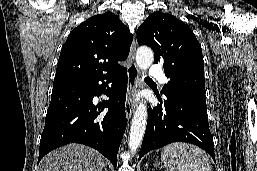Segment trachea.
Masks as SVG:
<instances>
[{
    "instance_id": "obj_1",
    "label": "trachea",
    "mask_w": 257,
    "mask_h": 171,
    "mask_svg": "<svg viewBox=\"0 0 257 171\" xmlns=\"http://www.w3.org/2000/svg\"><path fill=\"white\" fill-rule=\"evenodd\" d=\"M146 79H149V80H150V78H149V77H146Z\"/></svg>"
}]
</instances>
